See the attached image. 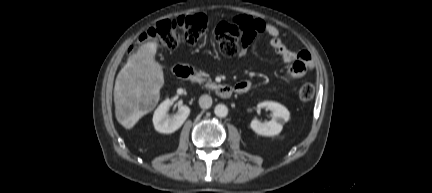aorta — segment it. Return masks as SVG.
Wrapping results in <instances>:
<instances>
[{
	"label": "aorta",
	"mask_w": 432,
	"mask_h": 193,
	"mask_svg": "<svg viewBox=\"0 0 432 193\" xmlns=\"http://www.w3.org/2000/svg\"><path fill=\"white\" fill-rule=\"evenodd\" d=\"M214 113L218 117H226L228 114V108L224 104H218L215 106Z\"/></svg>",
	"instance_id": "obj_1"
}]
</instances>
